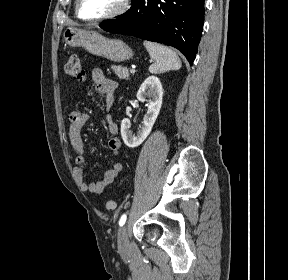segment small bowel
Listing matches in <instances>:
<instances>
[{
  "mask_svg": "<svg viewBox=\"0 0 288 280\" xmlns=\"http://www.w3.org/2000/svg\"><path fill=\"white\" fill-rule=\"evenodd\" d=\"M91 79L95 84L96 90L103 94L107 103V117L106 127L110 138L108 140V147L112 153L113 163L108 169L103 178L98 182H88L85 180V166H86V144L82 138V129L89 120L87 113L75 110L69 115V126L67 129L69 137V145L75 154V168L74 175L78 182L80 189L84 192L93 194H101L111 183L115 181L123 169L122 163L119 161V154L121 150V140L119 138V126L113 120L111 109L114 102L115 93L117 90V83L107 78L103 71L99 68H94L91 71Z\"/></svg>",
  "mask_w": 288,
  "mask_h": 280,
  "instance_id": "1",
  "label": "small bowel"
}]
</instances>
